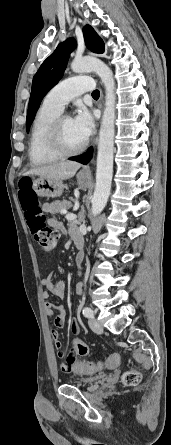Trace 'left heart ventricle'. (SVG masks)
Segmentation results:
<instances>
[{
	"instance_id": "1",
	"label": "left heart ventricle",
	"mask_w": 171,
	"mask_h": 445,
	"mask_svg": "<svg viewBox=\"0 0 171 445\" xmlns=\"http://www.w3.org/2000/svg\"><path fill=\"white\" fill-rule=\"evenodd\" d=\"M62 139L69 148L77 147L85 140L74 125L72 118H66L62 124Z\"/></svg>"
}]
</instances>
